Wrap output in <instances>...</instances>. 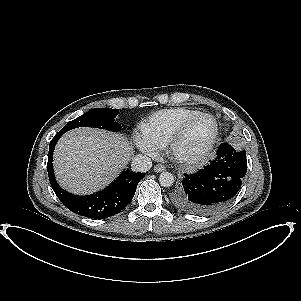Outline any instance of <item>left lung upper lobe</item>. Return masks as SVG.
Returning <instances> with one entry per match:
<instances>
[{
  "mask_svg": "<svg viewBox=\"0 0 301 301\" xmlns=\"http://www.w3.org/2000/svg\"><path fill=\"white\" fill-rule=\"evenodd\" d=\"M177 190H178V189H177ZM177 190H176V191H177ZM176 191L172 194V197H173L172 199H174V195H175Z\"/></svg>",
  "mask_w": 301,
  "mask_h": 301,
  "instance_id": "left-lung-upper-lobe-1",
  "label": "left lung upper lobe"
}]
</instances>
